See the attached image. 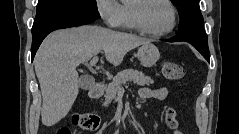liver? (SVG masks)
I'll return each mask as SVG.
<instances>
[{"label":"liver","mask_w":239,"mask_h":134,"mask_svg":"<svg viewBox=\"0 0 239 134\" xmlns=\"http://www.w3.org/2000/svg\"><path fill=\"white\" fill-rule=\"evenodd\" d=\"M150 40L99 26H80L51 33L38 49L34 66L43 103L42 123L53 126L70 111L79 92L77 66L104 51L118 66L130 50Z\"/></svg>","instance_id":"1"}]
</instances>
